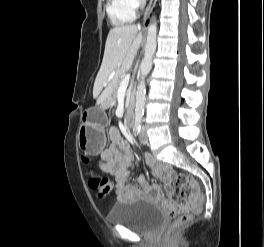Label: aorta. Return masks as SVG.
I'll return each instance as SVG.
<instances>
[{"mask_svg": "<svg viewBox=\"0 0 264 247\" xmlns=\"http://www.w3.org/2000/svg\"><path fill=\"white\" fill-rule=\"evenodd\" d=\"M157 22L154 19L147 29V41L144 49V58L141 62V77L136 91L135 120L141 121L145 107V78L152 68V58L156 51Z\"/></svg>", "mask_w": 264, "mask_h": 247, "instance_id": "1", "label": "aorta"}]
</instances>
